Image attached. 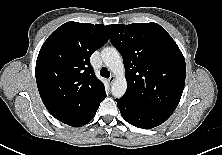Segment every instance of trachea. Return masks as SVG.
<instances>
[{
    "label": "trachea",
    "instance_id": "trachea-1",
    "mask_svg": "<svg viewBox=\"0 0 222 155\" xmlns=\"http://www.w3.org/2000/svg\"><path fill=\"white\" fill-rule=\"evenodd\" d=\"M100 75L102 77L109 78L110 77V72L106 68H102L100 70Z\"/></svg>",
    "mask_w": 222,
    "mask_h": 155
}]
</instances>
